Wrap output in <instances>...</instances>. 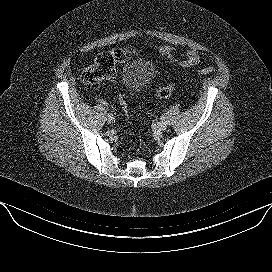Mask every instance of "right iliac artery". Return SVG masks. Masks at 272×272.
Here are the masks:
<instances>
[{"label": "right iliac artery", "mask_w": 272, "mask_h": 272, "mask_svg": "<svg viewBox=\"0 0 272 272\" xmlns=\"http://www.w3.org/2000/svg\"><path fill=\"white\" fill-rule=\"evenodd\" d=\"M107 117H112V112H107Z\"/></svg>", "instance_id": "82829eb1"}]
</instances>
